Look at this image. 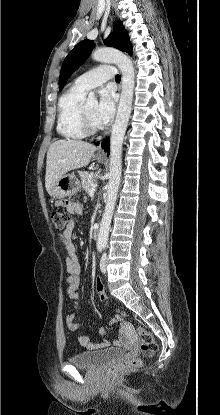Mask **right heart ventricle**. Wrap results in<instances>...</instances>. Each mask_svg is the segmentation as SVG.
Segmentation results:
<instances>
[{
    "mask_svg": "<svg viewBox=\"0 0 220 415\" xmlns=\"http://www.w3.org/2000/svg\"><path fill=\"white\" fill-rule=\"evenodd\" d=\"M85 93L72 86L59 98L56 129L58 134L64 138L82 139L85 137L79 122V110Z\"/></svg>",
    "mask_w": 220,
    "mask_h": 415,
    "instance_id": "right-heart-ventricle-1",
    "label": "right heart ventricle"
}]
</instances>
